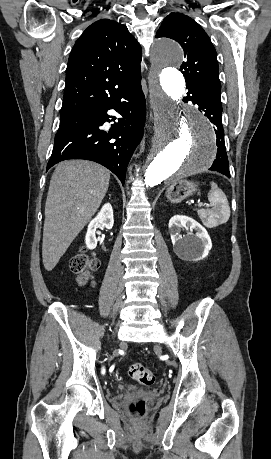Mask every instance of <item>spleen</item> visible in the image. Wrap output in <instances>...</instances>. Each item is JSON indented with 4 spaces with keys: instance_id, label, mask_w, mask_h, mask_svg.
Masks as SVG:
<instances>
[{
    "instance_id": "1",
    "label": "spleen",
    "mask_w": 271,
    "mask_h": 459,
    "mask_svg": "<svg viewBox=\"0 0 271 459\" xmlns=\"http://www.w3.org/2000/svg\"><path fill=\"white\" fill-rule=\"evenodd\" d=\"M211 192L208 194V200L213 204L212 210H198V214L206 228H216L220 224H226L230 218V206L228 200L219 190L217 184L210 182Z\"/></svg>"
}]
</instances>
